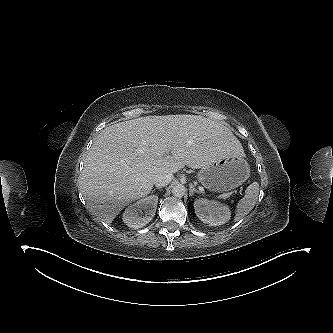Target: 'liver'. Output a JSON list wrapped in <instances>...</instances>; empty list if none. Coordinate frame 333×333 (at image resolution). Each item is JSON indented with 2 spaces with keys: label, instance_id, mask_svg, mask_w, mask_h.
<instances>
[{
  "label": "liver",
  "instance_id": "liver-1",
  "mask_svg": "<svg viewBox=\"0 0 333 333\" xmlns=\"http://www.w3.org/2000/svg\"><path fill=\"white\" fill-rule=\"evenodd\" d=\"M244 156L230 130L203 116H146L106 127L95 138L80 177L91 213L107 224L147 196L158 174L203 168Z\"/></svg>",
  "mask_w": 333,
  "mask_h": 333
}]
</instances>
